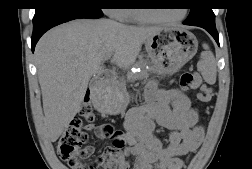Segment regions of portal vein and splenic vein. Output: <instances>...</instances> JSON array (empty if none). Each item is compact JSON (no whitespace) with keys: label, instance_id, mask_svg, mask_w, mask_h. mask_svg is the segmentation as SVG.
Instances as JSON below:
<instances>
[{"label":"portal vein and splenic vein","instance_id":"1","mask_svg":"<svg viewBox=\"0 0 252 169\" xmlns=\"http://www.w3.org/2000/svg\"><path fill=\"white\" fill-rule=\"evenodd\" d=\"M111 58V55H107L105 58H104V60L106 61V60H109Z\"/></svg>","mask_w":252,"mask_h":169}]
</instances>
